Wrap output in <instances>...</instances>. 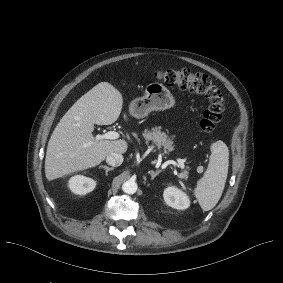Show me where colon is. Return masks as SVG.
<instances>
[{
    "mask_svg": "<svg viewBox=\"0 0 283 283\" xmlns=\"http://www.w3.org/2000/svg\"><path fill=\"white\" fill-rule=\"evenodd\" d=\"M154 78L167 86L206 97L209 104L200 121V128L206 135L214 132L222 121L224 104L219 88L208 75L190 69H167L155 72Z\"/></svg>",
    "mask_w": 283,
    "mask_h": 283,
    "instance_id": "5ec220e1",
    "label": "colon"
}]
</instances>
